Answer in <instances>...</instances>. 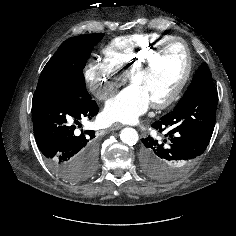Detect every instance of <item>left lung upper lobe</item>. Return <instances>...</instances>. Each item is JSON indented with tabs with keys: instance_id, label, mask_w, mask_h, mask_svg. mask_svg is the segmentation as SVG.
I'll use <instances>...</instances> for the list:
<instances>
[{
	"instance_id": "1",
	"label": "left lung upper lobe",
	"mask_w": 236,
	"mask_h": 236,
	"mask_svg": "<svg viewBox=\"0 0 236 236\" xmlns=\"http://www.w3.org/2000/svg\"><path fill=\"white\" fill-rule=\"evenodd\" d=\"M212 81L213 79H212L211 72L208 66L206 65V63H203L200 66V68L196 71L195 75L193 76L192 82L189 85L182 99L186 98L191 92H193L202 84L207 83V82H212Z\"/></svg>"
}]
</instances>
